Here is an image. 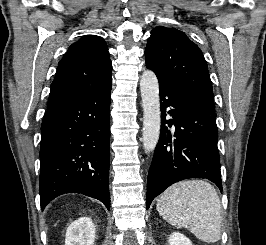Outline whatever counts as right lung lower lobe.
Wrapping results in <instances>:
<instances>
[{"label": "right lung lower lobe", "instance_id": "right-lung-lower-lobe-1", "mask_svg": "<svg viewBox=\"0 0 266 245\" xmlns=\"http://www.w3.org/2000/svg\"><path fill=\"white\" fill-rule=\"evenodd\" d=\"M111 84L84 89L45 112L40 145L42 210L65 193L93 197L110 209Z\"/></svg>", "mask_w": 266, "mask_h": 245}]
</instances>
